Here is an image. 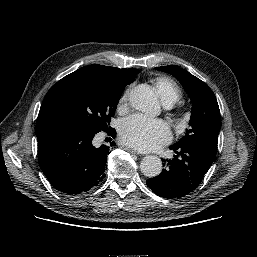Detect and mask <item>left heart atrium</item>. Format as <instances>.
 <instances>
[{"instance_id": "left-heart-atrium-1", "label": "left heart atrium", "mask_w": 257, "mask_h": 257, "mask_svg": "<svg viewBox=\"0 0 257 257\" xmlns=\"http://www.w3.org/2000/svg\"><path fill=\"white\" fill-rule=\"evenodd\" d=\"M123 144L140 151H152L171 140L168 125L161 120H153L142 115H132L124 119L119 129Z\"/></svg>"}]
</instances>
